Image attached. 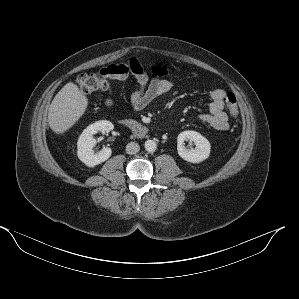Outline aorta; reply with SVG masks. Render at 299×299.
Here are the masks:
<instances>
[{"mask_svg": "<svg viewBox=\"0 0 299 299\" xmlns=\"http://www.w3.org/2000/svg\"><path fill=\"white\" fill-rule=\"evenodd\" d=\"M145 150L148 152H154L157 149V144L154 140H147L144 144Z\"/></svg>", "mask_w": 299, "mask_h": 299, "instance_id": "762f6f07", "label": "aorta"}]
</instances>
